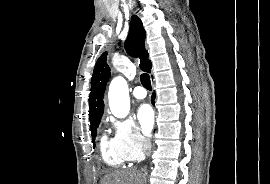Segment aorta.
<instances>
[{"instance_id": "aorta-1", "label": "aorta", "mask_w": 270, "mask_h": 184, "mask_svg": "<svg viewBox=\"0 0 270 184\" xmlns=\"http://www.w3.org/2000/svg\"><path fill=\"white\" fill-rule=\"evenodd\" d=\"M109 107L112 114L117 118H124L130 110L129 90L126 80L115 77L109 86L108 92Z\"/></svg>"}]
</instances>
